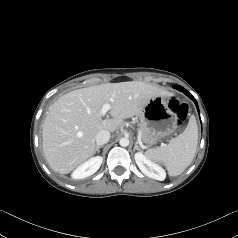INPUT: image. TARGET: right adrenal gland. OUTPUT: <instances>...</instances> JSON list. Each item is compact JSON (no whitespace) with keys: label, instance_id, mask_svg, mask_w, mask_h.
<instances>
[{"label":"right adrenal gland","instance_id":"obj_1","mask_svg":"<svg viewBox=\"0 0 238 238\" xmlns=\"http://www.w3.org/2000/svg\"><path fill=\"white\" fill-rule=\"evenodd\" d=\"M103 146H97L96 149H95V152L99 153V149L102 148Z\"/></svg>","mask_w":238,"mask_h":238}]
</instances>
